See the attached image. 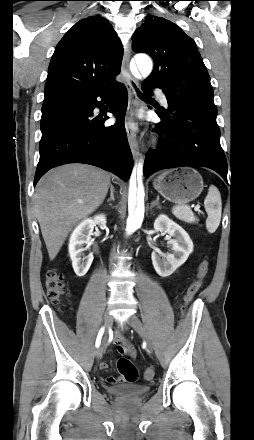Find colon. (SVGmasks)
Listing matches in <instances>:
<instances>
[{"label":"colon","mask_w":254,"mask_h":440,"mask_svg":"<svg viewBox=\"0 0 254 440\" xmlns=\"http://www.w3.org/2000/svg\"><path fill=\"white\" fill-rule=\"evenodd\" d=\"M209 271V261L203 260L199 266L196 273L195 280L189 285L187 291L184 296V307L186 309L187 305L193 300V298L198 293L202 281L205 278ZM64 279L62 274L56 270L51 269L46 274L45 279V288L47 292V296L50 300L54 302H58L61 297L64 295ZM117 368L119 373L122 375L124 381L128 383H134L138 380V370L135 365L126 358H120L117 361ZM154 377V370L152 368H148L144 372V378L146 380H152Z\"/></svg>","instance_id":"5ec220e1"}]
</instances>
